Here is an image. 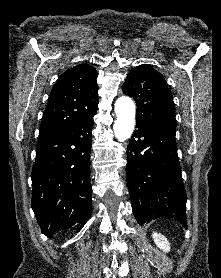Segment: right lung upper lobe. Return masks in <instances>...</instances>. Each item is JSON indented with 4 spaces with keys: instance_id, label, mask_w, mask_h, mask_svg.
Wrapping results in <instances>:
<instances>
[{
    "instance_id": "right-lung-upper-lobe-1",
    "label": "right lung upper lobe",
    "mask_w": 221,
    "mask_h": 278,
    "mask_svg": "<svg viewBox=\"0 0 221 278\" xmlns=\"http://www.w3.org/2000/svg\"><path fill=\"white\" fill-rule=\"evenodd\" d=\"M97 71L80 64L65 71L51 91L38 144L45 143L66 128L96 113L98 108Z\"/></svg>"
}]
</instances>
